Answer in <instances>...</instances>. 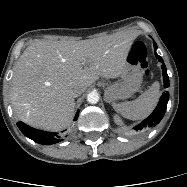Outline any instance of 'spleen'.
<instances>
[{
	"mask_svg": "<svg viewBox=\"0 0 187 187\" xmlns=\"http://www.w3.org/2000/svg\"><path fill=\"white\" fill-rule=\"evenodd\" d=\"M159 88V82L156 81L136 100L114 104L113 108L127 119L139 120L145 118L153 111L158 103L160 97Z\"/></svg>",
	"mask_w": 187,
	"mask_h": 187,
	"instance_id": "spleen-1",
	"label": "spleen"
}]
</instances>
